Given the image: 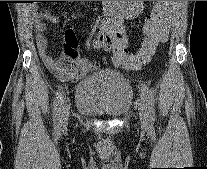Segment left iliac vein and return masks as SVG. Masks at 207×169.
<instances>
[{"label":"left iliac vein","mask_w":207,"mask_h":169,"mask_svg":"<svg viewBox=\"0 0 207 169\" xmlns=\"http://www.w3.org/2000/svg\"><path fill=\"white\" fill-rule=\"evenodd\" d=\"M139 118L142 126L146 127L148 125L149 119L144 105L139 108Z\"/></svg>","instance_id":"obj_1"}]
</instances>
